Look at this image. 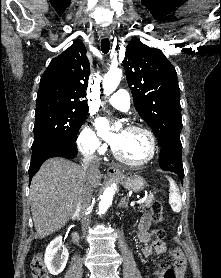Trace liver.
<instances>
[{
  "label": "liver",
  "instance_id": "obj_1",
  "mask_svg": "<svg viewBox=\"0 0 221 278\" xmlns=\"http://www.w3.org/2000/svg\"><path fill=\"white\" fill-rule=\"evenodd\" d=\"M99 172L91 179L92 187L100 185ZM85 181L83 167L63 158L43 163L30 185V204L34 226L39 238L64 227L77 207Z\"/></svg>",
  "mask_w": 221,
  "mask_h": 278
}]
</instances>
